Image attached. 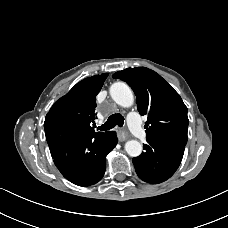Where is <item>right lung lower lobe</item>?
Wrapping results in <instances>:
<instances>
[{"mask_svg":"<svg viewBox=\"0 0 228 228\" xmlns=\"http://www.w3.org/2000/svg\"><path fill=\"white\" fill-rule=\"evenodd\" d=\"M118 142L116 133H83L49 147L54 163L62 175L79 186L99 182L106 169V156Z\"/></svg>","mask_w":228,"mask_h":228,"instance_id":"right-lung-lower-lobe-1","label":"right lung lower lobe"}]
</instances>
